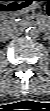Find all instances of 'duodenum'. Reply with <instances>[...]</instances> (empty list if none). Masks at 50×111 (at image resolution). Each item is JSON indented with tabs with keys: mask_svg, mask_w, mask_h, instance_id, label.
Returning <instances> with one entry per match:
<instances>
[{
	"mask_svg": "<svg viewBox=\"0 0 50 111\" xmlns=\"http://www.w3.org/2000/svg\"><path fill=\"white\" fill-rule=\"evenodd\" d=\"M25 25L26 26L37 25V26L41 27L43 30H47L48 27H49V25L46 21H44V20H34V19L25 21Z\"/></svg>",
	"mask_w": 50,
	"mask_h": 111,
	"instance_id": "obj_1",
	"label": "duodenum"
}]
</instances>
